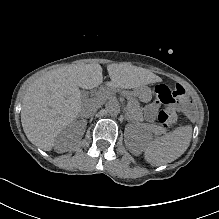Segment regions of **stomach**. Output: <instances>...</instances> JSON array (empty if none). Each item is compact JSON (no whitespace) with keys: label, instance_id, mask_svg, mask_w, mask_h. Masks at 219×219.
I'll return each instance as SVG.
<instances>
[{"label":"stomach","instance_id":"stomach-1","mask_svg":"<svg viewBox=\"0 0 219 219\" xmlns=\"http://www.w3.org/2000/svg\"><path fill=\"white\" fill-rule=\"evenodd\" d=\"M136 95L144 100L147 101L150 99L151 91L147 87H140L135 91Z\"/></svg>","mask_w":219,"mask_h":219}]
</instances>
